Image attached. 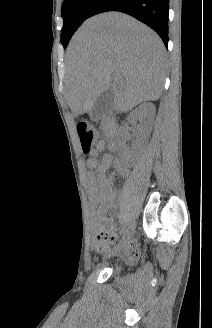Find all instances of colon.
Returning a JSON list of instances; mask_svg holds the SVG:
<instances>
[{"mask_svg":"<svg viewBox=\"0 0 212 328\" xmlns=\"http://www.w3.org/2000/svg\"><path fill=\"white\" fill-rule=\"evenodd\" d=\"M80 137L81 148L84 154H91L97 142L98 136L95 129L88 122H79L77 125ZM108 215L104 216L107 219ZM116 241L115 233L107 225H101L96 235V247L99 251L105 252L111 248Z\"/></svg>","mask_w":212,"mask_h":328,"instance_id":"colon-1","label":"colon"}]
</instances>
